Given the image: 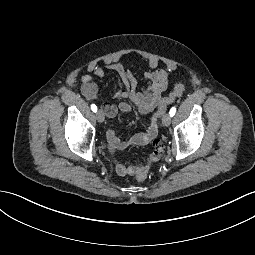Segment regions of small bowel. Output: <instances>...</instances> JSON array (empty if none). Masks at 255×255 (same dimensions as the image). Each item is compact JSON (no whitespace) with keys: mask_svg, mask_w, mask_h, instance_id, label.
Returning <instances> with one entry per match:
<instances>
[{"mask_svg":"<svg viewBox=\"0 0 255 255\" xmlns=\"http://www.w3.org/2000/svg\"><path fill=\"white\" fill-rule=\"evenodd\" d=\"M158 66L157 60L149 61V67L152 71L144 74V79L148 83L145 90L138 89L137 76L122 63H107L103 67L97 64H90L88 66L89 72L99 78L105 77L107 72H113L117 76L120 89L114 93V98L120 100V102L118 105L107 102L102 104L101 109L107 117L114 118L118 112H129L131 104L128 101L135 105L141 115L151 114L147 130L133 135L126 141H121L116 136L113 125L107 128L106 138L112 154L131 146H143L149 143L154 148L141 164L126 165L115 158V171L120 176L135 175L140 170H149L164 153V145L157 138L158 126L157 121L154 119L153 111L159 105L162 95L168 87L170 72L165 68H158ZM80 81L83 96L89 100H97L98 88L93 77L91 75H82Z\"/></svg>","mask_w":255,"mask_h":255,"instance_id":"c3829d8e","label":"small bowel"}]
</instances>
